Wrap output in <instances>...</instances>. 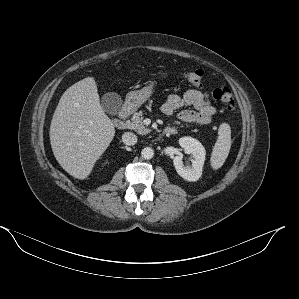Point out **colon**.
I'll return each instance as SVG.
<instances>
[{"label":"colon","mask_w":299,"mask_h":299,"mask_svg":"<svg viewBox=\"0 0 299 299\" xmlns=\"http://www.w3.org/2000/svg\"><path fill=\"white\" fill-rule=\"evenodd\" d=\"M181 77L194 86H199L202 83L204 72L201 69L185 70L180 73ZM213 97L224 104L229 110L235 106V100L232 90L228 86H221L213 91Z\"/></svg>","instance_id":"5ec220e1"}]
</instances>
